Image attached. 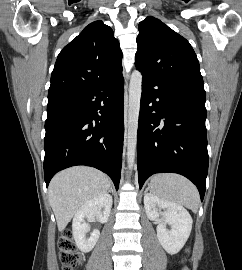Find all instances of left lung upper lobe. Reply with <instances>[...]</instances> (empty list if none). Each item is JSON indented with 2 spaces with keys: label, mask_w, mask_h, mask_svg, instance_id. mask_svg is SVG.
<instances>
[{
  "label": "left lung upper lobe",
  "mask_w": 242,
  "mask_h": 270,
  "mask_svg": "<svg viewBox=\"0 0 242 270\" xmlns=\"http://www.w3.org/2000/svg\"><path fill=\"white\" fill-rule=\"evenodd\" d=\"M135 65L143 76L171 90L206 97L197 56L190 43L159 19L138 26Z\"/></svg>",
  "instance_id": "5c2ea615"
}]
</instances>
